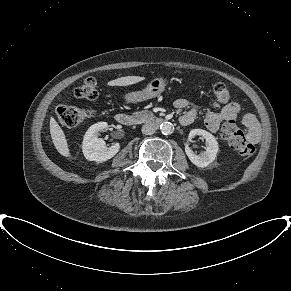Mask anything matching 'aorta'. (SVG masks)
Here are the masks:
<instances>
[{
    "label": "aorta",
    "instance_id": "aorta-1",
    "mask_svg": "<svg viewBox=\"0 0 291 291\" xmlns=\"http://www.w3.org/2000/svg\"><path fill=\"white\" fill-rule=\"evenodd\" d=\"M160 131L164 135H170L173 132V126L170 122H163L160 125Z\"/></svg>",
    "mask_w": 291,
    "mask_h": 291
}]
</instances>
